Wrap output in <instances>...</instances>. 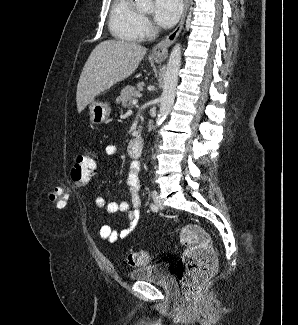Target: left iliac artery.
I'll return each mask as SVG.
<instances>
[{
	"label": "left iliac artery",
	"mask_w": 298,
	"mask_h": 325,
	"mask_svg": "<svg viewBox=\"0 0 298 325\" xmlns=\"http://www.w3.org/2000/svg\"><path fill=\"white\" fill-rule=\"evenodd\" d=\"M150 208H151L152 211H157L158 210L157 206L154 203L150 204Z\"/></svg>",
	"instance_id": "obj_1"
}]
</instances>
